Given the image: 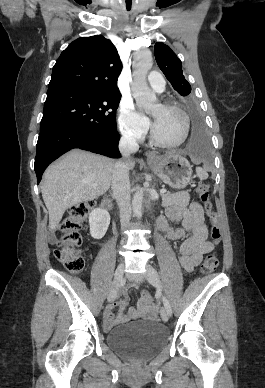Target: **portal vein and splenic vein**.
Returning <instances> with one entry per match:
<instances>
[{
    "label": "portal vein and splenic vein",
    "mask_w": 265,
    "mask_h": 388,
    "mask_svg": "<svg viewBox=\"0 0 265 388\" xmlns=\"http://www.w3.org/2000/svg\"><path fill=\"white\" fill-rule=\"evenodd\" d=\"M165 192H167V190H160V194H165Z\"/></svg>",
    "instance_id": "18ae733b"
}]
</instances>
